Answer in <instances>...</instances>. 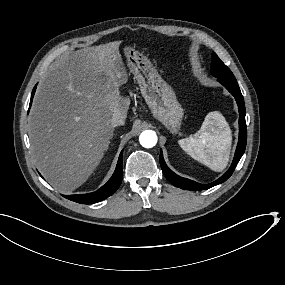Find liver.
Instances as JSON below:
<instances>
[{"label":"liver","instance_id":"6515ba94","mask_svg":"<svg viewBox=\"0 0 285 285\" xmlns=\"http://www.w3.org/2000/svg\"><path fill=\"white\" fill-rule=\"evenodd\" d=\"M120 42L66 52L40 80L28 131L35 164L62 193L81 186L100 164L114 133L115 111L130 100Z\"/></svg>","mask_w":285,"mask_h":285}]
</instances>
